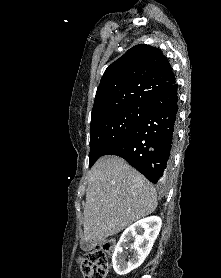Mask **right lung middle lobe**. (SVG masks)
Returning <instances> with one entry per match:
<instances>
[{"instance_id": "obj_1", "label": "right lung middle lobe", "mask_w": 221, "mask_h": 278, "mask_svg": "<svg viewBox=\"0 0 221 278\" xmlns=\"http://www.w3.org/2000/svg\"><path fill=\"white\" fill-rule=\"evenodd\" d=\"M147 112L146 101H135L92 118L89 165L113 142L128 134Z\"/></svg>"}]
</instances>
